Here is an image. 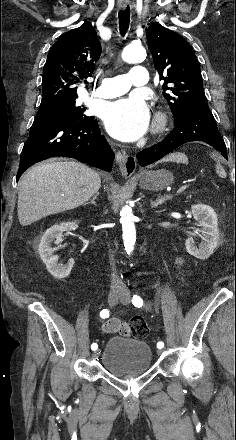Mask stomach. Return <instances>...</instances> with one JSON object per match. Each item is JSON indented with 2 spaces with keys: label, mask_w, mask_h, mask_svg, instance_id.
Wrapping results in <instances>:
<instances>
[{
  "label": "stomach",
  "mask_w": 236,
  "mask_h": 440,
  "mask_svg": "<svg viewBox=\"0 0 236 440\" xmlns=\"http://www.w3.org/2000/svg\"><path fill=\"white\" fill-rule=\"evenodd\" d=\"M173 174L165 169L146 171L139 176V185L144 190L159 191L173 183Z\"/></svg>",
  "instance_id": "obj_1"
}]
</instances>
